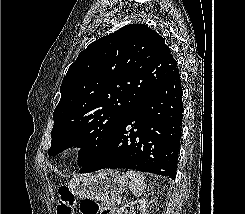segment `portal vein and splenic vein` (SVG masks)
I'll use <instances>...</instances> for the list:
<instances>
[{
    "label": "portal vein and splenic vein",
    "mask_w": 245,
    "mask_h": 214,
    "mask_svg": "<svg viewBox=\"0 0 245 214\" xmlns=\"http://www.w3.org/2000/svg\"><path fill=\"white\" fill-rule=\"evenodd\" d=\"M116 203H117V205H120L121 204V199H117Z\"/></svg>",
    "instance_id": "18ae733b"
}]
</instances>
